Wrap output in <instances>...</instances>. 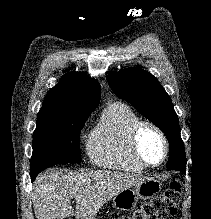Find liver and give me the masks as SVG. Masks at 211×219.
<instances>
[{"label":"liver","instance_id":"6515ba94","mask_svg":"<svg viewBox=\"0 0 211 219\" xmlns=\"http://www.w3.org/2000/svg\"><path fill=\"white\" fill-rule=\"evenodd\" d=\"M147 179L139 174L111 171L46 170L34 181V213L37 219H64L74 214L76 219H94L107 201ZM73 198L75 211L71 206Z\"/></svg>","mask_w":211,"mask_h":219}]
</instances>
